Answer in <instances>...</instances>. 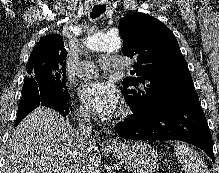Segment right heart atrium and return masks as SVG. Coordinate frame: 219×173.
I'll list each match as a JSON object with an SVG mask.
<instances>
[{"mask_svg":"<svg viewBox=\"0 0 219 173\" xmlns=\"http://www.w3.org/2000/svg\"><path fill=\"white\" fill-rule=\"evenodd\" d=\"M77 112H78V115L82 118V119H89L90 118V114L88 113V111L82 107V106H79L78 109H77Z\"/></svg>","mask_w":219,"mask_h":173,"instance_id":"obj_1","label":"right heart atrium"}]
</instances>
